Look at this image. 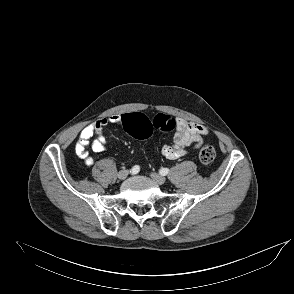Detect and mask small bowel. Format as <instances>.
<instances>
[{"instance_id":"c3829d8e","label":"small bowel","mask_w":294,"mask_h":294,"mask_svg":"<svg viewBox=\"0 0 294 294\" xmlns=\"http://www.w3.org/2000/svg\"><path fill=\"white\" fill-rule=\"evenodd\" d=\"M122 119L123 115L114 114L99 119L82 129L75 146V152L86 165L91 166L94 163L93 157L88 152L89 145L96 153L104 151L107 145L104 129L108 125H121ZM207 133L208 130L205 126L179 118L176 120L173 143L162 147V155L170 160L179 159L188 153L189 148H199L203 142V136Z\"/></svg>"}]
</instances>
